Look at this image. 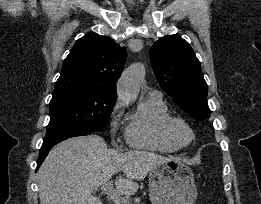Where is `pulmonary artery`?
Listing matches in <instances>:
<instances>
[{
	"label": "pulmonary artery",
	"mask_w": 261,
	"mask_h": 204,
	"mask_svg": "<svg viewBox=\"0 0 261 204\" xmlns=\"http://www.w3.org/2000/svg\"><path fill=\"white\" fill-rule=\"evenodd\" d=\"M146 97L161 98V93L157 90H150L147 92Z\"/></svg>",
	"instance_id": "obj_1"
}]
</instances>
